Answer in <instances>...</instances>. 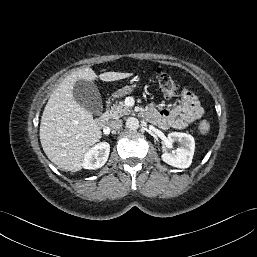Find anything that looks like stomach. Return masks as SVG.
<instances>
[{"label": "stomach", "instance_id": "obj_1", "mask_svg": "<svg viewBox=\"0 0 257 257\" xmlns=\"http://www.w3.org/2000/svg\"><path fill=\"white\" fill-rule=\"evenodd\" d=\"M133 88H134L133 86H126V87H124L122 89H119L118 91L114 92L112 94V96L114 98L121 97L123 95H126V94L130 93Z\"/></svg>", "mask_w": 257, "mask_h": 257}]
</instances>
